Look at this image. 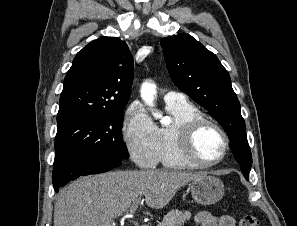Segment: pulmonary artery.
Instances as JSON below:
<instances>
[{
	"mask_svg": "<svg viewBox=\"0 0 297 226\" xmlns=\"http://www.w3.org/2000/svg\"><path fill=\"white\" fill-rule=\"evenodd\" d=\"M165 102H187V96L179 91H169L164 96Z\"/></svg>",
	"mask_w": 297,
	"mask_h": 226,
	"instance_id": "e3ab8cb5",
	"label": "pulmonary artery"
}]
</instances>
